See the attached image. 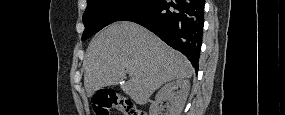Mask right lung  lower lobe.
<instances>
[{
	"label": "right lung lower lobe",
	"instance_id": "1",
	"mask_svg": "<svg viewBox=\"0 0 285 115\" xmlns=\"http://www.w3.org/2000/svg\"><path fill=\"white\" fill-rule=\"evenodd\" d=\"M204 0H155L126 16L183 53L198 72L204 25Z\"/></svg>",
	"mask_w": 285,
	"mask_h": 115
}]
</instances>
